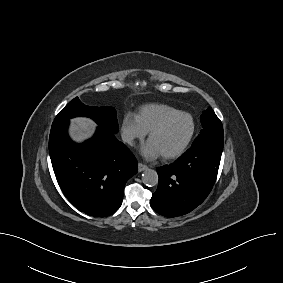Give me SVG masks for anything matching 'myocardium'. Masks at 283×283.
Returning <instances> with one entry per match:
<instances>
[{"label": "myocardium", "mask_w": 283, "mask_h": 283, "mask_svg": "<svg viewBox=\"0 0 283 283\" xmlns=\"http://www.w3.org/2000/svg\"><path fill=\"white\" fill-rule=\"evenodd\" d=\"M177 116H186V117H188L190 119V121H191V130H190V133H189L188 137L186 138V140L183 142V144L178 149H176L175 151L170 152V153L162 154V157L164 159H174V158H177V157L181 156L186 151V149L190 145V143H191V141H192V139H193V137L195 135V131H196V122H195L194 117L190 113L185 112V111H179L178 110V111L172 112V113L164 116L162 119H160L149 130V133H148V138L150 139L153 134H155L156 132L161 130L171 119H173L174 117H177Z\"/></svg>", "instance_id": "obj_1"}]
</instances>
